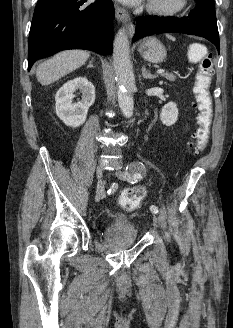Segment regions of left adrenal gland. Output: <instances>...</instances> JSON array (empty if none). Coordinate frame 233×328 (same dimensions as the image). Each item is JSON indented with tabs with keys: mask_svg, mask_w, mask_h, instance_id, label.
Segmentation results:
<instances>
[{
	"mask_svg": "<svg viewBox=\"0 0 233 328\" xmlns=\"http://www.w3.org/2000/svg\"><path fill=\"white\" fill-rule=\"evenodd\" d=\"M142 77L144 79H155L157 75H152L145 66L142 67Z\"/></svg>",
	"mask_w": 233,
	"mask_h": 328,
	"instance_id": "1",
	"label": "left adrenal gland"
}]
</instances>
